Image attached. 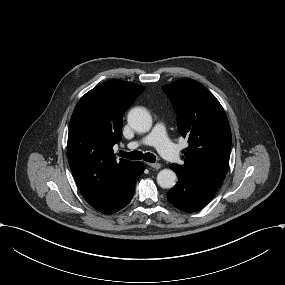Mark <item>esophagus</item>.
<instances>
[{"label": "esophagus", "instance_id": "obj_1", "mask_svg": "<svg viewBox=\"0 0 285 285\" xmlns=\"http://www.w3.org/2000/svg\"><path fill=\"white\" fill-rule=\"evenodd\" d=\"M148 166L158 170L161 168V164L160 163H148Z\"/></svg>", "mask_w": 285, "mask_h": 285}]
</instances>
